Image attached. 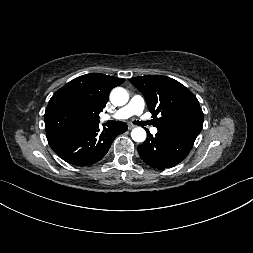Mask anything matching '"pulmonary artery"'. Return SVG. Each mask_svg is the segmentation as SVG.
Instances as JSON below:
<instances>
[{
  "label": "pulmonary artery",
  "instance_id": "1",
  "mask_svg": "<svg viewBox=\"0 0 253 253\" xmlns=\"http://www.w3.org/2000/svg\"><path fill=\"white\" fill-rule=\"evenodd\" d=\"M145 107V101L144 99L139 95H134L128 104L123 106L122 108L118 109L113 114H107L103 116V120H108L110 118L115 119H127L133 115H141ZM151 132L153 134L157 133L156 128H152Z\"/></svg>",
  "mask_w": 253,
  "mask_h": 253
}]
</instances>
